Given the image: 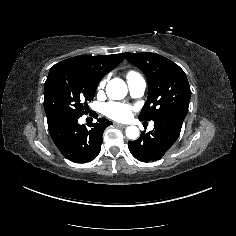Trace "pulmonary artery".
<instances>
[{
    "instance_id": "e3ab8cb5",
    "label": "pulmonary artery",
    "mask_w": 236,
    "mask_h": 236,
    "mask_svg": "<svg viewBox=\"0 0 236 236\" xmlns=\"http://www.w3.org/2000/svg\"><path fill=\"white\" fill-rule=\"evenodd\" d=\"M129 90L135 97H141L146 90V82L140 75L128 77L127 80ZM149 129H153V123L149 125Z\"/></svg>"
}]
</instances>
